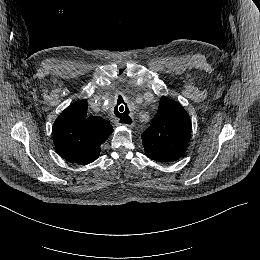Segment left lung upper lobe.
<instances>
[{
	"mask_svg": "<svg viewBox=\"0 0 260 260\" xmlns=\"http://www.w3.org/2000/svg\"><path fill=\"white\" fill-rule=\"evenodd\" d=\"M190 135L189 115L178 102L164 96L156 117L142 134V142L150 159L170 163L185 155Z\"/></svg>",
	"mask_w": 260,
	"mask_h": 260,
	"instance_id": "5c2ea615",
	"label": "left lung upper lobe"
}]
</instances>
